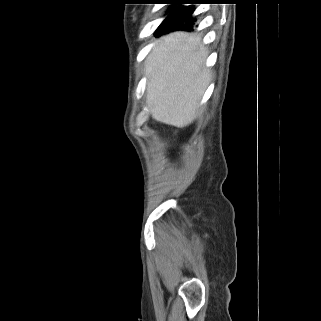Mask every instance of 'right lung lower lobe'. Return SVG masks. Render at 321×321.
<instances>
[{
	"label": "right lung lower lobe",
	"mask_w": 321,
	"mask_h": 321,
	"mask_svg": "<svg viewBox=\"0 0 321 321\" xmlns=\"http://www.w3.org/2000/svg\"><path fill=\"white\" fill-rule=\"evenodd\" d=\"M195 8L182 7L172 11L158 27L156 35L165 34L174 30H191L195 18L192 16Z\"/></svg>",
	"instance_id": "obj_1"
}]
</instances>
